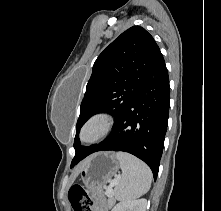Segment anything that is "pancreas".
Listing matches in <instances>:
<instances>
[{
	"label": "pancreas",
	"mask_w": 221,
	"mask_h": 211,
	"mask_svg": "<svg viewBox=\"0 0 221 211\" xmlns=\"http://www.w3.org/2000/svg\"><path fill=\"white\" fill-rule=\"evenodd\" d=\"M107 195V192H106ZM114 193L112 192V197L108 199V207H112L115 204V199L113 198Z\"/></svg>",
	"instance_id": "obj_1"
}]
</instances>
